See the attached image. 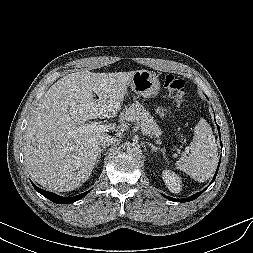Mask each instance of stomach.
<instances>
[{
	"instance_id": "0dacf381",
	"label": "stomach",
	"mask_w": 253,
	"mask_h": 253,
	"mask_svg": "<svg viewBox=\"0 0 253 253\" xmlns=\"http://www.w3.org/2000/svg\"><path fill=\"white\" fill-rule=\"evenodd\" d=\"M128 86L138 96L144 98L156 97L160 91V82L157 75L148 70L135 71Z\"/></svg>"
}]
</instances>
